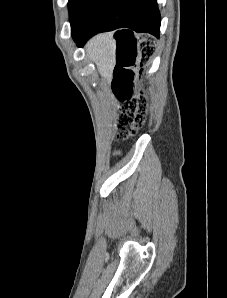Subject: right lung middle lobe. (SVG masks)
I'll return each instance as SVG.
<instances>
[{
  "instance_id": "dd1d6c3e",
  "label": "right lung middle lobe",
  "mask_w": 227,
  "mask_h": 298,
  "mask_svg": "<svg viewBox=\"0 0 227 298\" xmlns=\"http://www.w3.org/2000/svg\"><path fill=\"white\" fill-rule=\"evenodd\" d=\"M110 0H69L71 33L79 32Z\"/></svg>"
}]
</instances>
